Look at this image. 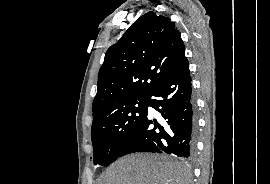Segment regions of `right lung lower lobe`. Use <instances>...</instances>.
I'll return each instance as SVG.
<instances>
[{
	"label": "right lung lower lobe",
	"instance_id": "98d812e1",
	"mask_svg": "<svg viewBox=\"0 0 270 184\" xmlns=\"http://www.w3.org/2000/svg\"><path fill=\"white\" fill-rule=\"evenodd\" d=\"M148 106L160 112L164 121L159 123L146 116L119 157L133 152L191 157L194 153L195 119L187 58L152 89L147 96ZM151 124H154L153 128Z\"/></svg>",
	"mask_w": 270,
	"mask_h": 184
}]
</instances>
